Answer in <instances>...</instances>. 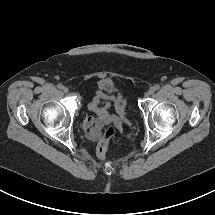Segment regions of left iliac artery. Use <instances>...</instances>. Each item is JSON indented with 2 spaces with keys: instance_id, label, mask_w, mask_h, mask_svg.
I'll return each mask as SVG.
<instances>
[{
  "instance_id": "obj_1",
  "label": "left iliac artery",
  "mask_w": 215,
  "mask_h": 215,
  "mask_svg": "<svg viewBox=\"0 0 215 215\" xmlns=\"http://www.w3.org/2000/svg\"><path fill=\"white\" fill-rule=\"evenodd\" d=\"M159 88H160V86H159L158 84H156V85L154 86V89H155V90H159Z\"/></svg>"
}]
</instances>
